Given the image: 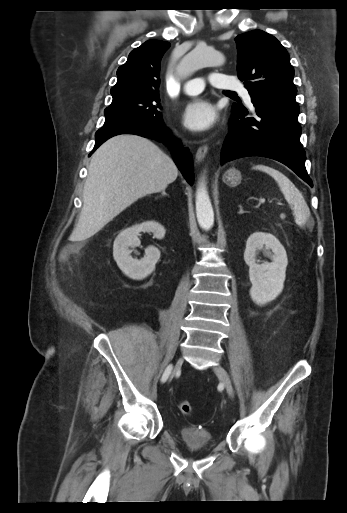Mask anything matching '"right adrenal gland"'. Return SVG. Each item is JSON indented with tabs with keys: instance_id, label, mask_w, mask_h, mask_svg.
Wrapping results in <instances>:
<instances>
[{
	"instance_id": "obj_1",
	"label": "right adrenal gland",
	"mask_w": 347,
	"mask_h": 513,
	"mask_svg": "<svg viewBox=\"0 0 347 513\" xmlns=\"http://www.w3.org/2000/svg\"><path fill=\"white\" fill-rule=\"evenodd\" d=\"M163 196H167V193L165 192V190H163L162 193H161V196H159L157 198H160V197H163Z\"/></svg>"
}]
</instances>
